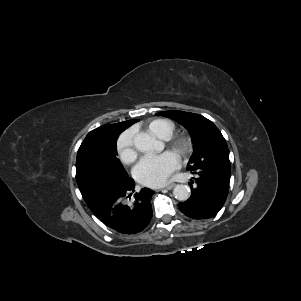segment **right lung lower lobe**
<instances>
[{
    "instance_id": "98d812e1",
    "label": "right lung lower lobe",
    "mask_w": 301,
    "mask_h": 301,
    "mask_svg": "<svg viewBox=\"0 0 301 301\" xmlns=\"http://www.w3.org/2000/svg\"><path fill=\"white\" fill-rule=\"evenodd\" d=\"M134 180L104 181L97 188L88 207L107 227L123 234L142 231L152 218L150 199L154 191L143 188L134 192Z\"/></svg>"
}]
</instances>
